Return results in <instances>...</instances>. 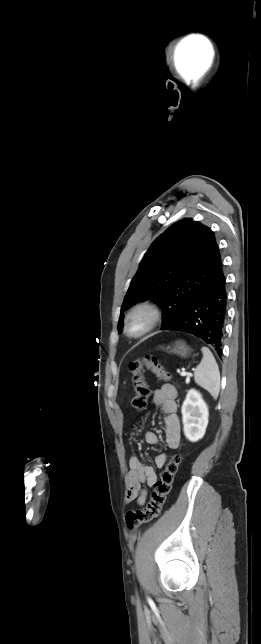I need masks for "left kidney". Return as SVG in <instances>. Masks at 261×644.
I'll use <instances>...</instances> for the list:
<instances>
[{"label": "left kidney", "mask_w": 261, "mask_h": 644, "mask_svg": "<svg viewBox=\"0 0 261 644\" xmlns=\"http://www.w3.org/2000/svg\"><path fill=\"white\" fill-rule=\"evenodd\" d=\"M183 431L186 438L191 442L201 439L208 425V407L201 394L190 389L183 402L182 408Z\"/></svg>", "instance_id": "left-kidney-1"}]
</instances>
